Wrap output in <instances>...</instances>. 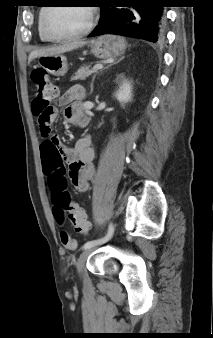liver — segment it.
Returning <instances> with one entry per match:
<instances>
[{"label":"liver","instance_id":"1","mask_svg":"<svg viewBox=\"0 0 213 338\" xmlns=\"http://www.w3.org/2000/svg\"><path fill=\"white\" fill-rule=\"evenodd\" d=\"M85 44H86L85 41H75V42L64 44V45L52 46V47L34 50L29 55L28 63H30L32 60H34L37 57L59 55V54L66 53L74 49H77L79 47H82Z\"/></svg>","mask_w":213,"mask_h":338}]
</instances>
